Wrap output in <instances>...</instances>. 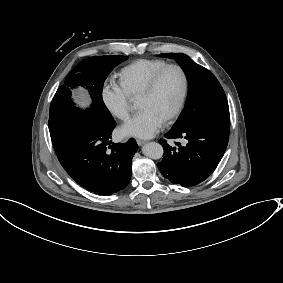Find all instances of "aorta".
Wrapping results in <instances>:
<instances>
[{
    "instance_id": "1",
    "label": "aorta",
    "mask_w": 283,
    "mask_h": 283,
    "mask_svg": "<svg viewBox=\"0 0 283 283\" xmlns=\"http://www.w3.org/2000/svg\"><path fill=\"white\" fill-rule=\"evenodd\" d=\"M142 152L151 159H160L163 156V147L156 142H150L143 146Z\"/></svg>"
}]
</instances>
